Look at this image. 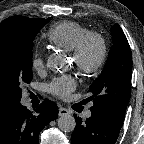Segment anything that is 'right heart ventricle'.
<instances>
[{"instance_id":"1","label":"right heart ventricle","mask_w":144,"mask_h":144,"mask_svg":"<svg viewBox=\"0 0 144 144\" xmlns=\"http://www.w3.org/2000/svg\"><path fill=\"white\" fill-rule=\"evenodd\" d=\"M89 30L77 22L64 21L52 26L46 37L51 45L72 52L80 38Z\"/></svg>"}]
</instances>
